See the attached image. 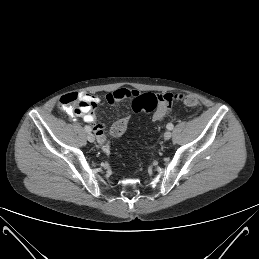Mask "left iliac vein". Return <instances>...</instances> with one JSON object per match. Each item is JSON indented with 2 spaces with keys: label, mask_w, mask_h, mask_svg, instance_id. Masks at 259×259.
I'll return each instance as SVG.
<instances>
[{
  "label": "left iliac vein",
  "mask_w": 259,
  "mask_h": 259,
  "mask_svg": "<svg viewBox=\"0 0 259 259\" xmlns=\"http://www.w3.org/2000/svg\"><path fill=\"white\" fill-rule=\"evenodd\" d=\"M171 138V132L170 131H166L165 133H164V139L165 140H169Z\"/></svg>",
  "instance_id": "left-iliac-vein-1"
}]
</instances>
